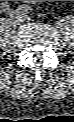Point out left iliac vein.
Instances as JSON below:
<instances>
[{
  "instance_id": "left-iliac-vein-1",
  "label": "left iliac vein",
  "mask_w": 74,
  "mask_h": 122,
  "mask_svg": "<svg viewBox=\"0 0 74 122\" xmlns=\"http://www.w3.org/2000/svg\"><path fill=\"white\" fill-rule=\"evenodd\" d=\"M18 13H20V15L23 17L24 20H26V21L31 20V18L28 15H25L22 10H20Z\"/></svg>"
}]
</instances>
